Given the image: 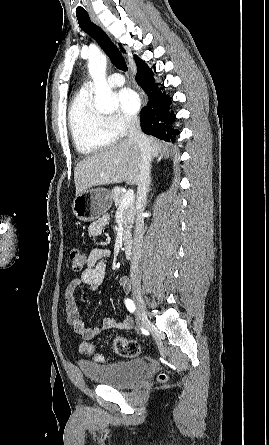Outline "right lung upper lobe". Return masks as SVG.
<instances>
[{
	"instance_id": "right-lung-upper-lobe-1",
	"label": "right lung upper lobe",
	"mask_w": 269,
	"mask_h": 445,
	"mask_svg": "<svg viewBox=\"0 0 269 445\" xmlns=\"http://www.w3.org/2000/svg\"><path fill=\"white\" fill-rule=\"evenodd\" d=\"M119 46H120L121 50H122L123 52H125V50L122 48L121 44H119ZM134 59H135L136 62H138L139 60H141V59H139L137 56H134Z\"/></svg>"
}]
</instances>
